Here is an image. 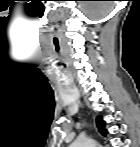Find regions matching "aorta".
I'll return each mask as SVG.
<instances>
[{"label":"aorta","mask_w":140,"mask_h":147,"mask_svg":"<svg viewBox=\"0 0 140 147\" xmlns=\"http://www.w3.org/2000/svg\"><path fill=\"white\" fill-rule=\"evenodd\" d=\"M98 143L90 138H78L72 143V147H96Z\"/></svg>","instance_id":"1"}]
</instances>
